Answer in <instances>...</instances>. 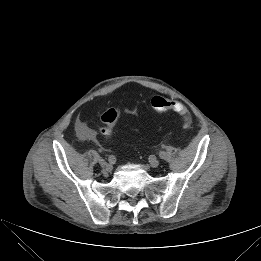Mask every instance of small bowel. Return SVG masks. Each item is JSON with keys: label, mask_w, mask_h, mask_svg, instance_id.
Masks as SVG:
<instances>
[{"label": "small bowel", "mask_w": 261, "mask_h": 261, "mask_svg": "<svg viewBox=\"0 0 261 261\" xmlns=\"http://www.w3.org/2000/svg\"><path fill=\"white\" fill-rule=\"evenodd\" d=\"M123 110L127 114H134L137 111V105H134L132 107L124 106ZM75 129L78 137L81 140H87V141H96L97 140V132L90 126H88L83 120L78 119L75 124Z\"/></svg>", "instance_id": "c3829d8e"}]
</instances>
